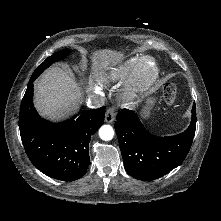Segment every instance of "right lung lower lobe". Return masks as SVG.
<instances>
[{
    "label": "right lung lower lobe",
    "mask_w": 221,
    "mask_h": 221,
    "mask_svg": "<svg viewBox=\"0 0 221 221\" xmlns=\"http://www.w3.org/2000/svg\"><path fill=\"white\" fill-rule=\"evenodd\" d=\"M33 81L28 83L20 108L19 127L25 151L33 165L47 176L77 180L87 172L89 142L104 123L105 107L83 111L62 123H50L34 108Z\"/></svg>",
    "instance_id": "right-lung-lower-lobe-1"
}]
</instances>
